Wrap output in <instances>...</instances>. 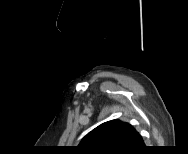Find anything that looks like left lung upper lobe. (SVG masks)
I'll use <instances>...</instances> for the list:
<instances>
[{"mask_svg": "<svg viewBox=\"0 0 188 154\" xmlns=\"http://www.w3.org/2000/svg\"><path fill=\"white\" fill-rule=\"evenodd\" d=\"M135 134L129 123L111 120L89 132L78 147L88 154L125 153L131 149Z\"/></svg>", "mask_w": 188, "mask_h": 154, "instance_id": "1", "label": "left lung upper lobe"}]
</instances>
